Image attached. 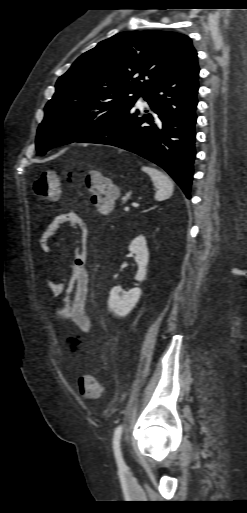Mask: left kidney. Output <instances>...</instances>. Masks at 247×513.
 <instances>
[{
  "mask_svg": "<svg viewBox=\"0 0 247 513\" xmlns=\"http://www.w3.org/2000/svg\"><path fill=\"white\" fill-rule=\"evenodd\" d=\"M129 251L135 254V261L138 270L135 276L137 281H143L146 278V267L149 261V252L146 238L142 235L136 237L129 245ZM141 296V289L136 287L124 292L121 287H114L110 291L108 306L117 316L124 317L135 307Z\"/></svg>",
  "mask_w": 247,
  "mask_h": 513,
  "instance_id": "obj_1",
  "label": "left kidney"
}]
</instances>
